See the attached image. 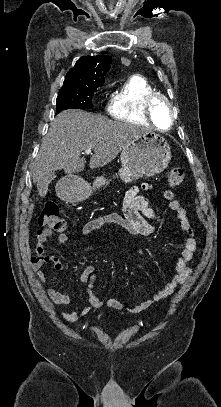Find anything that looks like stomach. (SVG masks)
I'll return each instance as SVG.
<instances>
[{
    "label": "stomach",
    "instance_id": "stomach-1",
    "mask_svg": "<svg viewBox=\"0 0 221 407\" xmlns=\"http://www.w3.org/2000/svg\"><path fill=\"white\" fill-rule=\"evenodd\" d=\"M119 177L125 183L135 179L150 177L164 171L171 160V148L159 133L147 131L140 134L126 147L121 155ZM104 176L97 177L91 187L78 176H68L59 188V196L68 203H78L88 199L94 189L107 186Z\"/></svg>",
    "mask_w": 221,
    "mask_h": 407
}]
</instances>
